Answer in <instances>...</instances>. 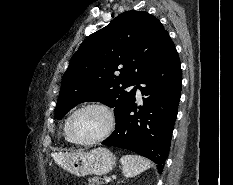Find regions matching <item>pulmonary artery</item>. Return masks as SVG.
Masks as SVG:
<instances>
[{
  "label": "pulmonary artery",
  "mask_w": 233,
  "mask_h": 185,
  "mask_svg": "<svg viewBox=\"0 0 233 185\" xmlns=\"http://www.w3.org/2000/svg\"><path fill=\"white\" fill-rule=\"evenodd\" d=\"M133 86L136 87L137 98L140 99L141 98V92H140V89L138 88V83H135Z\"/></svg>",
  "instance_id": "1"
}]
</instances>
